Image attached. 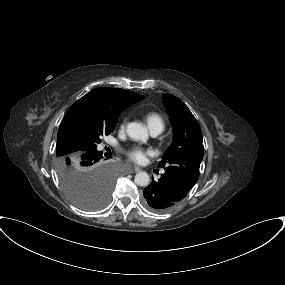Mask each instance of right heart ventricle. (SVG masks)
I'll list each match as a JSON object with an SVG mask.
<instances>
[{
    "mask_svg": "<svg viewBox=\"0 0 285 285\" xmlns=\"http://www.w3.org/2000/svg\"><path fill=\"white\" fill-rule=\"evenodd\" d=\"M146 121L150 130H159L161 132L164 130L166 125L164 118L156 112L148 113L146 115Z\"/></svg>",
    "mask_w": 285,
    "mask_h": 285,
    "instance_id": "right-heart-ventricle-1",
    "label": "right heart ventricle"
}]
</instances>
